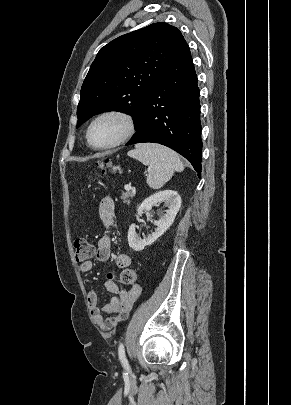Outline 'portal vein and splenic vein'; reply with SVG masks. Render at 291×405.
Masks as SVG:
<instances>
[{
    "label": "portal vein and splenic vein",
    "instance_id": "portal-vein-and-splenic-vein-1",
    "mask_svg": "<svg viewBox=\"0 0 291 405\" xmlns=\"http://www.w3.org/2000/svg\"><path fill=\"white\" fill-rule=\"evenodd\" d=\"M124 188H125V190H127V191H130V190H132V187H131V185H125V186H124Z\"/></svg>",
    "mask_w": 291,
    "mask_h": 405
}]
</instances>
